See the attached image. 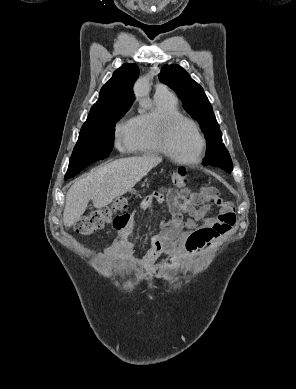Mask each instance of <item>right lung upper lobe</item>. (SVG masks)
I'll return each mask as SVG.
<instances>
[{
    "label": "right lung upper lobe",
    "instance_id": "1",
    "mask_svg": "<svg viewBox=\"0 0 296 389\" xmlns=\"http://www.w3.org/2000/svg\"><path fill=\"white\" fill-rule=\"evenodd\" d=\"M139 75L136 64L127 63L118 68L102 87L98 101L88 118L96 117L121 107H130L134 101L133 84Z\"/></svg>",
    "mask_w": 296,
    "mask_h": 389
}]
</instances>
